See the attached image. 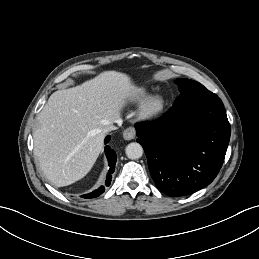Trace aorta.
<instances>
[{
    "mask_svg": "<svg viewBox=\"0 0 259 259\" xmlns=\"http://www.w3.org/2000/svg\"><path fill=\"white\" fill-rule=\"evenodd\" d=\"M125 153L129 159L136 160L143 155V148L139 143L132 142L126 146Z\"/></svg>",
    "mask_w": 259,
    "mask_h": 259,
    "instance_id": "obj_1",
    "label": "aorta"
}]
</instances>
